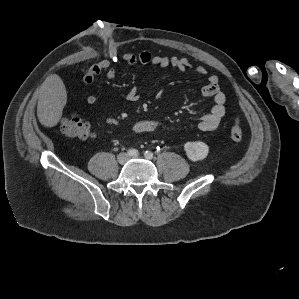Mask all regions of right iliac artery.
Returning a JSON list of instances; mask_svg holds the SVG:
<instances>
[{
	"instance_id": "82829eb1",
	"label": "right iliac artery",
	"mask_w": 299,
	"mask_h": 299,
	"mask_svg": "<svg viewBox=\"0 0 299 299\" xmlns=\"http://www.w3.org/2000/svg\"><path fill=\"white\" fill-rule=\"evenodd\" d=\"M129 156L136 157L138 155V151L136 149H129L127 151Z\"/></svg>"
}]
</instances>
